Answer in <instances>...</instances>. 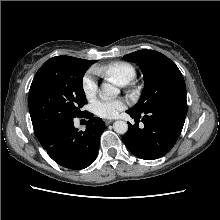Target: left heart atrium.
Returning a JSON list of instances; mask_svg holds the SVG:
<instances>
[{"label":"left heart atrium","instance_id":"39dd6f15","mask_svg":"<svg viewBox=\"0 0 220 220\" xmlns=\"http://www.w3.org/2000/svg\"><path fill=\"white\" fill-rule=\"evenodd\" d=\"M125 108L122 100L99 99L92 104L93 112L102 118H113Z\"/></svg>","mask_w":220,"mask_h":220}]
</instances>
